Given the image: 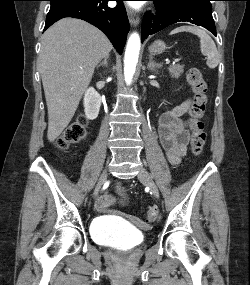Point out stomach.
Returning <instances> with one entry per match:
<instances>
[{
	"instance_id": "0dacf381",
	"label": "stomach",
	"mask_w": 250,
	"mask_h": 285,
	"mask_svg": "<svg viewBox=\"0 0 250 285\" xmlns=\"http://www.w3.org/2000/svg\"><path fill=\"white\" fill-rule=\"evenodd\" d=\"M166 46L164 44V42L158 40L155 41L150 47H149V51L153 54H159L161 52H163L165 50Z\"/></svg>"
}]
</instances>
